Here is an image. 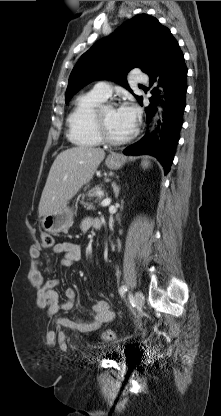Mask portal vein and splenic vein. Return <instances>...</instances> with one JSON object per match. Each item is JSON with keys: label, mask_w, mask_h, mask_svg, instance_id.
<instances>
[{"label": "portal vein and splenic vein", "mask_w": 221, "mask_h": 416, "mask_svg": "<svg viewBox=\"0 0 221 416\" xmlns=\"http://www.w3.org/2000/svg\"><path fill=\"white\" fill-rule=\"evenodd\" d=\"M103 194L102 192H99V195ZM111 203V199L110 198H105L102 202L101 205L102 206H108Z\"/></svg>", "instance_id": "obj_1"}]
</instances>
